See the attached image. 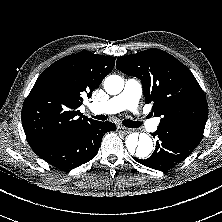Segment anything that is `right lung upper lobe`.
<instances>
[{
  "mask_svg": "<svg viewBox=\"0 0 222 222\" xmlns=\"http://www.w3.org/2000/svg\"><path fill=\"white\" fill-rule=\"evenodd\" d=\"M115 57L88 51L66 56L49 66L24 101L21 117L28 143L65 135L94 120L77 108L112 71Z\"/></svg>",
  "mask_w": 222,
  "mask_h": 222,
  "instance_id": "obj_1",
  "label": "right lung upper lobe"
}]
</instances>
